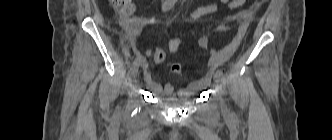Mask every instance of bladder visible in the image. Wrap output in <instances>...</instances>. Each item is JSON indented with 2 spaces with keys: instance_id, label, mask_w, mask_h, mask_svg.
<instances>
[{
  "instance_id": "1",
  "label": "bladder",
  "mask_w": 332,
  "mask_h": 140,
  "mask_svg": "<svg viewBox=\"0 0 332 140\" xmlns=\"http://www.w3.org/2000/svg\"><path fill=\"white\" fill-rule=\"evenodd\" d=\"M193 99H194L193 97H187L180 100H168L164 101L163 104L172 107H183L189 105L193 101Z\"/></svg>"
}]
</instances>
